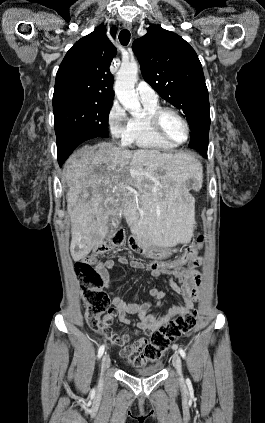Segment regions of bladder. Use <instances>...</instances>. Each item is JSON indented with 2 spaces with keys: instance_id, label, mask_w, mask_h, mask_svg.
<instances>
[{
  "instance_id": "1",
  "label": "bladder",
  "mask_w": 265,
  "mask_h": 423,
  "mask_svg": "<svg viewBox=\"0 0 265 423\" xmlns=\"http://www.w3.org/2000/svg\"><path fill=\"white\" fill-rule=\"evenodd\" d=\"M161 368V364H156L150 367L132 369L131 373L137 376H152L159 373Z\"/></svg>"
}]
</instances>
